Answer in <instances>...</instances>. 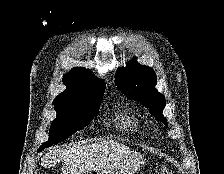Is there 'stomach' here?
I'll list each match as a JSON object with an SVG mask.
<instances>
[{"instance_id": "stomach-1", "label": "stomach", "mask_w": 224, "mask_h": 174, "mask_svg": "<svg viewBox=\"0 0 224 174\" xmlns=\"http://www.w3.org/2000/svg\"><path fill=\"white\" fill-rule=\"evenodd\" d=\"M143 157L137 152H130L121 159L112 161L102 169L92 170L86 174H134L143 164Z\"/></svg>"}]
</instances>
